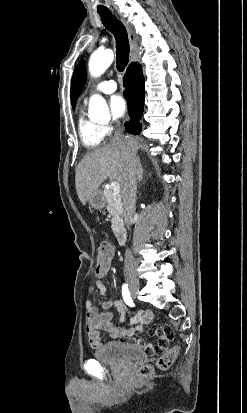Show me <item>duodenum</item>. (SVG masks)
I'll return each mask as SVG.
<instances>
[{"label": "duodenum", "mask_w": 247, "mask_h": 413, "mask_svg": "<svg viewBox=\"0 0 247 413\" xmlns=\"http://www.w3.org/2000/svg\"><path fill=\"white\" fill-rule=\"evenodd\" d=\"M114 236L117 239L119 244H123L125 242L126 239V231L123 228H117L114 231Z\"/></svg>", "instance_id": "410a0bca"}]
</instances>
